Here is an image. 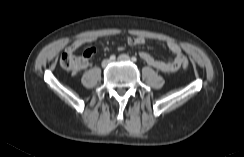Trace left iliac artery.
<instances>
[{
    "label": "left iliac artery",
    "mask_w": 244,
    "mask_h": 157,
    "mask_svg": "<svg viewBox=\"0 0 244 157\" xmlns=\"http://www.w3.org/2000/svg\"><path fill=\"white\" fill-rule=\"evenodd\" d=\"M131 60H132V62H136L137 58L136 57H132Z\"/></svg>",
    "instance_id": "44dca946"
}]
</instances>
